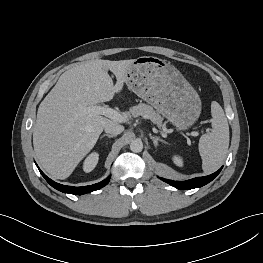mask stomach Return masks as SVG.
<instances>
[{
  "mask_svg": "<svg viewBox=\"0 0 263 263\" xmlns=\"http://www.w3.org/2000/svg\"><path fill=\"white\" fill-rule=\"evenodd\" d=\"M125 83L179 131L190 128L200 116L198 93L177 68L163 59H134L127 68Z\"/></svg>",
  "mask_w": 263,
  "mask_h": 263,
  "instance_id": "obj_1",
  "label": "stomach"
}]
</instances>
